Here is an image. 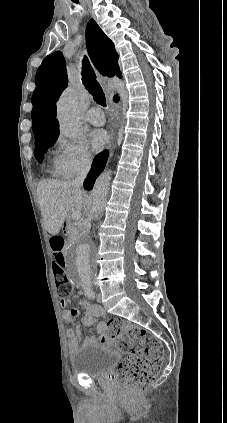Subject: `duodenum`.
I'll use <instances>...</instances> for the list:
<instances>
[{"label": "duodenum", "mask_w": 227, "mask_h": 423, "mask_svg": "<svg viewBox=\"0 0 227 423\" xmlns=\"http://www.w3.org/2000/svg\"><path fill=\"white\" fill-rule=\"evenodd\" d=\"M65 235L67 236V235H69V231H68V228L66 229V231H65Z\"/></svg>", "instance_id": "obj_1"}]
</instances>
